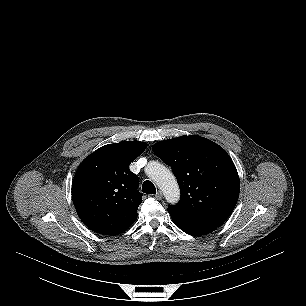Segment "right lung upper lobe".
Instances as JSON below:
<instances>
[{
    "instance_id": "1",
    "label": "right lung upper lobe",
    "mask_w": 306,
    "mask_h": 306,
    "mask_svg": "<svg viewBox=\"0 0 306 306\" xmlns=\"http://www.w3.org/2000/svg\"><path fill=\"white\" fill-rule=\"evenodd\" d=\"M146 147V143L137 141L108 144L79 166L72 183V199L89 229L116 235L136 220L142 194L138 191L139 178L129 165Z\"/></svg>"
}]
</instances>
